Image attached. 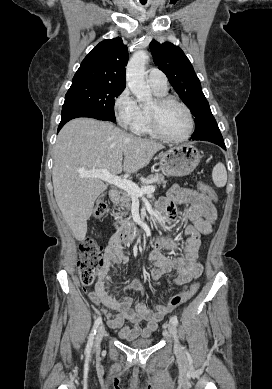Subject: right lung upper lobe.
Returning a JSON list of instances; mask_svg holds the SVG:
<instances>
[{
  "label": "right lung upper lobe",
  "mask_w": 272,
  "mask_h": 389,
  "mask_svg": "<svg viewBox=\"0 0 272 389\" xmlns=\"http://www.w3.org/2000/svg\"><path fill=\"white\" fill-rule=\"evenodd\" d=\"M127 46L120 37L100 42L82 61L73 77L75 83H98L126 87Z\"/></svg>",
  "instance_id": "right-lung-upper-lobe-1"
}]
</instances>
